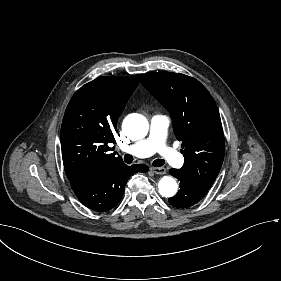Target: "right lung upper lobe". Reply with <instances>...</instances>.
Wrapping results in <instances>:
<instances>
[{"instance_id": "1", "label": "right lung upper lobe", "mask_w": 281, "mask_h": 281, "mask_svg": "<svg viewBox=\"0 0 281 281\" xmlns=\"http://www.w3.org/2000/svg\"><path fill=\"white\" fill-rule=\"evenodd\" d=\"M138 84V75L99 77L71 98L61 127L64 169L71 185L125 165L108 145L115 142L113 128Z\"/></svg>"}]
</instances>
